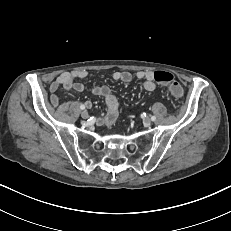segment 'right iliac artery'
Returning <instances> with one entry per match:
<instances>
[{
	"label": "right iliac artery",
	"mask_w": 231,
	"mask_h": 231,
	"mask_svg": "<svg viewBox=\"0 0 231 231\" xmlns=\"http://www.w3.org/2000/svg\"><path fill=\"white\" fill-rule=\"evenodd\" d=\"M80 109H81V110H84V109H85V106L82 104V105L80 106Z\"/></svg>",
	"instance_id": "82829eb1"
}]
</instances>
